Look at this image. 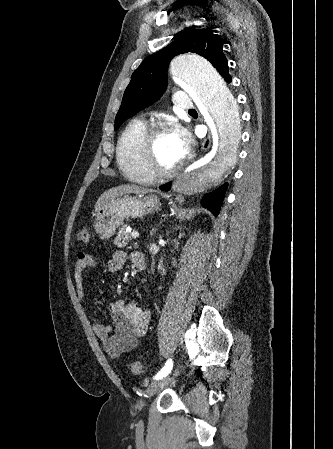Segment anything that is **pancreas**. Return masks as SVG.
<instances>
[{
    "label": "pancreas",
    "instance_id": "1",
    "mask_svg": "<svg viewBox=\"0 0 333 449\" xmlns=\"http://www.w3.org/2000/svg\"><path fill=\"white\" fill-rule=\"evenodd\" d=\"M129 241H131V233L127 231V226L124 225L119 230L117 237L114 240V244L119 247H124L129 243Z\"/></svg>",
    "mask_w": 333,
    "mask_h": 449
}]
</instances>
